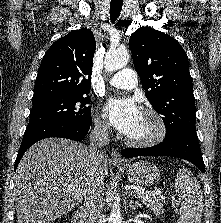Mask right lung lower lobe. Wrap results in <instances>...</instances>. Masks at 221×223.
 Instances as JSON below:
<instances>
[{"label": "right lung lower lobe", "instance_id": "right-lung-lower-lobe-1", "mask_svg": "<svg viewBox=\"0 0 221 223\" xmlns=\"http://www.w3.org/2000/svg\"><path fill=\"white\" fill-rule=\"evenodd\" d=\"M91 124L76 125L66 122H48L33 128H26L23 140L18 152L15 169L17 168L25 151L34 143L49 137H61L74 141H82L87 135Z\"/></svg>", "mask_w": 221, "mask_h": 223}]
</instances>
